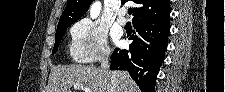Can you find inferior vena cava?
Listing matches in <instances>:
<instances>
[{"mask_svg": "<svg viewBox=\"0 0 225 92\" xmlns=\"http://www.w3.org/2000/svg\"><path fill=\"white\" fill-rule=\"evenodd\" d=\"M110 51L109 50H105L103 52V58L101 61V69L105 72H109L110 76H111V85L113 86V89L116 87L117 84V78H116V74L112 71H110ZM115 91V90H112Z\"/></svg>", "mask_w": 225, "mask_h": 92, "instance_id": "1", "label": "inferior vena cava"}]
</instances>
